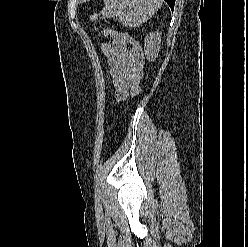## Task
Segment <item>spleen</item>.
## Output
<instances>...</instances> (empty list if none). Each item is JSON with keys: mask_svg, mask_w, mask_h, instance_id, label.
Returning a JSON list of instances; mask_svg holds the SVG:
<instances>
[{"mask_svg": "<svg viewBox=\"0 0 248 247\" xmlns=\"http://www.w3.org/2000/svg\"><path fill=\"white\" fill-rule=\"evenodd\" d=\"M104 3L103 17H116L123 26L130 27L142 25L162 6V0H104ZM90 19L96 21L98 14L94 13Z\"/></svg>", "mask_w": 248, "mask_h": 247, "instance_id": "obj_1", "label": "spleen"}]
</instances>
